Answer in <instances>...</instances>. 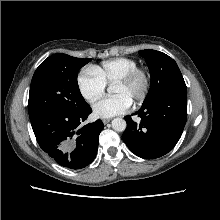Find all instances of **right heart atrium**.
Instances as JSON below:
<instances>
[{"mask_svg":"<svg viewBox=\"0 0 220 220\" xmlns=\"http://www.w3.org/2000/svg\"><path fill=\"white\" fill-rule=\"evenodd\" d=\"M77 85L83 99L94 102L105 91V83L98 77L92 67L84 68L77 77Z\"/></svg>","mask_w":220,"mask_h":220,"instance_id":"right-heart-atrium-1","label":"right heart atrium"}]
</instances>
